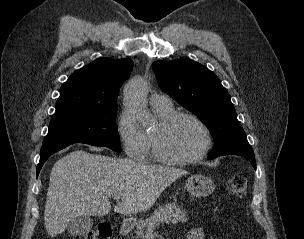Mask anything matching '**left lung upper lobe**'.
Returning a JSON list of instances; mask_svg holds the SVG:
<instances>
[{"label": "left lung upper lobe", "instance_id": "1", "mask_svg": "<svg viewBox=\"0 0 304 239\" xmlns=\"http://www.w3.org/2000/svg\"><path fill=\"white\" fill-rule=\"evenodd\" d=\"M152 67L161 89L211 131L215 148L209 156H254L230 96L212 71L190 59L156 61Z\"/></svg>", "mask_w": 304, "mask_h": 239}]
</instances>
